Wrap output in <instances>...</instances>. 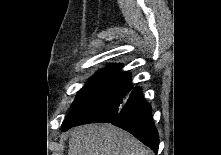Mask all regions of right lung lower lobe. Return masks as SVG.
<instances>
[{"instance_id":"obj_1","label":"right lung lower lobe","mask_w":221,"mask_h":155,"mask_svg":"<svg viewBox=\"0 0 221 155\" xmlns=\"http://www.w3.org/2000/svg\"><path fill=\"white\" fill-rule=\"evenodd\" d=\"M151 113V106L143 99L142 89L134 87L131 74L121 71L120 66H117L97 103L78 125L112 123L130 132L157 153L159 138Z\"/></svg>"}]
</instances>
